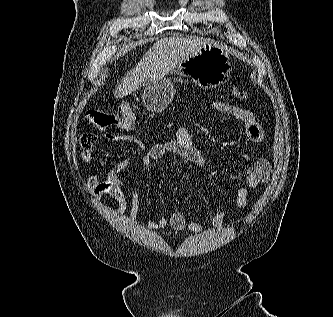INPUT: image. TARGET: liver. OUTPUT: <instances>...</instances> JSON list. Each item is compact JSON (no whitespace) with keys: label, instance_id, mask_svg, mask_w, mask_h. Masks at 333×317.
Instances as JSON below:
<instances>
[{"label":"liver","instance_id":"6515ba94","mask_svg":"<svg viewBox=\"0 0 333 317\" xmlns=\"http://www.w3.org/2000/svg\"><path fill=\"white\" fill-rule=\"evenodd\" d=\"M207 40L200 37H169L158 40L122 79L114 92L115 98L125 97L139 90L145 82L164 77L180 63L196 54Z\"/></svg>","mask_w":333,"mask_h":317}]
</instances>
